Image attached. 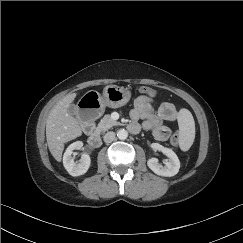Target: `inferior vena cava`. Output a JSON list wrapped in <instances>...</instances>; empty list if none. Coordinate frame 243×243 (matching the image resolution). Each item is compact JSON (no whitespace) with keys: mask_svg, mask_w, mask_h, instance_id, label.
<instances>
[{"mask_svg":"<svg viewBox=\"0 0 243 243\" xmlns=\"http://www.w3.org/2000/svg\"><path fill=\"white\" fill-rule=\"evenodd\" d=\"M115 139V133L113 131L107 132L104 135V142L111 143Z\"/></svg>","mask_w":243,"mask_h":243,"instance_id":"obj_1","label":"inferior vena cava"}]
</instances>
